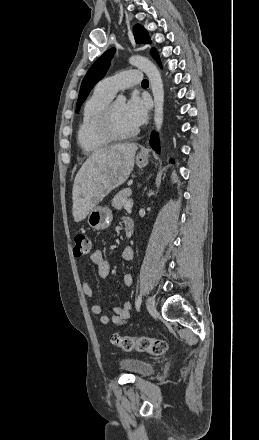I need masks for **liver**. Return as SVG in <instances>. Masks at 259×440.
<instances>
[{"label":"liver","mask_w":259,"mask_h":440,"mask_svg":"<svg viewBox=\"0 0 259 440\" xmlns=\"http://www.w3.org/2000/svg\"><path fill=\"white\" fill-rule=\"evenodd\" d=\"M137 149L135 143L117 144L98 149L89 156L74 180L72 213L75 222L84 220L111 190L128 179Z\"/></svg>","instance_id":"1"}]
</instances>
